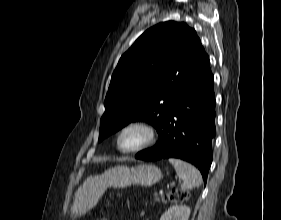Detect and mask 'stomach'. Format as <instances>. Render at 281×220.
I'll return each mask as SVG.
<instances>
[{
  "label": "stomach",
  "mask_w": 281,
  "mask_h": 220,
  "mask_svg": "<svg viewBox=\"0 0 281 220\" xmlns=\"http://www.w3.org/2000/svg\"><path fill=\"white\" fill-rule=\"evenodd\" d=\"M161 177V170L152 164H140L131 168L116 166L103 174L90 176L75 193L72 215L76 217L87 213L97 204L108 187L152 186L160 181Z\"/></svg>",
  "instance_id": "obj_1"
}]
</instances>
